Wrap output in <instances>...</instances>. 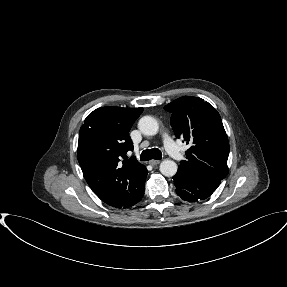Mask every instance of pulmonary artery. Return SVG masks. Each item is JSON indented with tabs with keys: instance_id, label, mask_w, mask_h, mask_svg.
Masks as SVG:
<instances>
[{
	"instance_id": "e3ab8cb5",
	"label": "pulmonary artery",
	"mask_w": 287,
	"mask_h": 287,
	"mask_svg": "<svg viewBox=\"0 0 287 287\" xmlns=\"http://www.w3.org/2000/svg\"><path fill=\"white\" fill-rule=\"evenodd\" d=\"M164 146L166 151L175 159L180 160L182 158V152L179 147L174 143L172 138L167 132L163 133Z\"/></svg>"
}]
</instances>
